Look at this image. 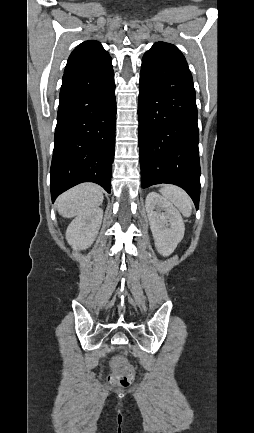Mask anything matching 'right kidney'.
Returning a JSON list of instances; mask_svg holds the SVG:
<instances>
[{
  "label": "right kidney",
  "mask_w": 254,
  "mask_h": 433,
  "mask_svg": "<svg viewBox=\"0 0 254 433\" xmlns=\"http://www.w3.org/2000/svg\"><path fill=\"white\" fill-rule=\"evenodd\" d=\"M103 210L94 208L78 215L68 226L66 240L74 250H83L92 245L101 226Z\"/></svg>",
  "instance_id": "ca27d5eb"
}]
</instances>
